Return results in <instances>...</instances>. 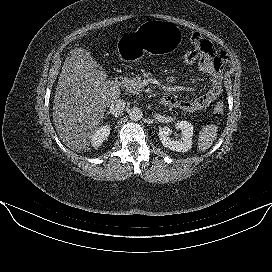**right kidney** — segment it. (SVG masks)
I'll use <instances>...</instances> for the list:
<instances>
[{
  "label": "right kidney",
  "instance_id": "ca27d5eb",
  "mask_svg": "<svg viewBox=\"0 0 272 272\" xmlns=\"http://www.w3.org/2000/svg\"><path fill=\"white\" fill-rule=\"evenodd\" d=\"M110 125L106 124L99 127L91 136V144L93 147H99L110 134Z\"/></svg>",
  "mask_w": 272,
  "mask_h": 272
}]
</instances>
